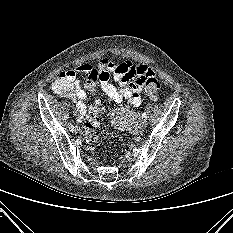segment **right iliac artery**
Listing matches in <instances>:
<instances>
[{
    "mask_svg": "<svg viewBox=\"0 0 233 233\" xmlns=\"http://www.w3.org/2000/svg\"><path fill=\"white\" fill-rule=\"evenodd\" d=\"M74 129H75V127L73 126V125H69V130L71 131V132H73L74 131Z\"/></svg>",
    "mask_w": 233,
    "mask_h": 233,
    "instance_id": "82829eb1",
    "label": "right iliac artery"
}]
</instances>
